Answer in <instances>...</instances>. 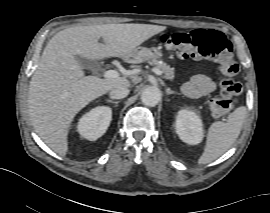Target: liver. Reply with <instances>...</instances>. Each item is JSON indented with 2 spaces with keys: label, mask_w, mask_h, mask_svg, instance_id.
Here are the masks:
<instances>
[{
  "label": "liver",
  "mask_w": 270,
  "mask_h": 213,
  "mask_svg": "<svg viewBox=\"0 0 270 213\" xmlns=\"http://www.w3.org/2000/svg\"><path fill=\"white\" fill-rule=\"evenodd\" d=\"M165 29L131 23L75 26L56 33L43 51L28 96L32 125L45 144L65 156L67 135L75 115L110 90L130 86L125 77L85 76L76 56L89 60L127 58L136 47ZM100 38L104 44L99 43Z\"/></svg>",
  "instance_id": "1"
}]
</instances>
